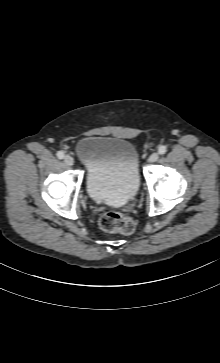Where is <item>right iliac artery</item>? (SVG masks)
I'll return each instance as SVG.
<instances>
[{
    "mask_svg": "<svg viewBox=\"0 0 220 363\" xmlns=\"http://www.w3.org/2000/svg\"><path fill=\"white\" fill-rule=\"evenodd\" d=\"M64 156H65V154H64V152H63V151H58V152H57V157H58L59 159H63V158H64Z\"/></svg>",
    "mask_w": 220,
    "mask_h": 363,
    "instance_id": "obj_1",
    "label": "right iliac artery"
}]
</instances>
